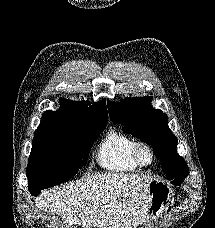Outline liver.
Listing matches in <instances>:
<instances>
[{
  "label": "liver",
  "mask_w": 215,
  "mask_h": 228,
  "mask_svg": "<svg viewBox=\"0 0 215 228\" xmlns=\"http://www.w3.org/2000/svg\"><path fill=\"white\" fill-rule=\"evenodd\" d=\"M151 176L99 174L44 190L36 208L58 214L65 228H137L148 218Z\"/></svg>",
  "instance_id": "1"
}]
</instances>
